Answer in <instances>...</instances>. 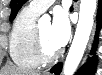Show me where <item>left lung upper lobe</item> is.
Masks as SVG:
<instances>
[{"label":"left lung upper lobe","instance_id":"1","mask_svg":"<svg viewBox=\"0 0 102 75\" xmlns=\"http://www.w3.org/2000/svg\"><path fill=\"white\" fill-rule=\"evenodd\" d=\"M26 1L27 0H11V3H10V7H11L10 21H12L16 17L17 12L20 10L21 6Z\"/></svg>","mask_w":102,"mask_h":75}]
</instances>
